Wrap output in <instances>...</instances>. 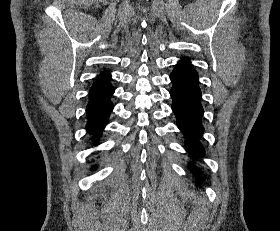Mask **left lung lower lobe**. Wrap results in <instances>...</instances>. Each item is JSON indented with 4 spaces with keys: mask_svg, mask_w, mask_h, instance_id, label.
Instances as JSON below:
<instances>
[{
    "mask_svg": "<svg viewBox=\"0 0 280 231\" xmlns=\"http://www.w3.org/2000/svg\"><path fill=\"white\" fill-rule=\"evenodd\" d=\"M173 87L170 95L172 109L177 118V125L186 138V149L192 157L204 156V148L198 143L203 126L201 124L203 108L201 91L198 86V74L194 69L175 67L170 75ZM197 175L202 173L191 166Z\"/></svg>",
    "mask_w": 280,
    "mask_h": 231,
    "instance_id": "left-lung-lower-lobe-1",
    "label": "left lung lower lobe"
}]
</instances>
